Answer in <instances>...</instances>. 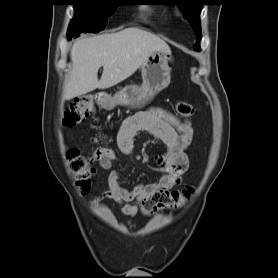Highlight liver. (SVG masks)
<instances>
[{"instance_id":"liver-1","label":"liver","mask_w":278,"mask_h":278,"mask_svg":"<svg viewBox=\"0 0 278 278\" xmlns=\"http://www.w3.org/2000/svg\"><path fill=\"white\" fill-rule=\"evenodd\" d=\"M170 51L158 36L138 28L77 40L71 47V76L64 89L70 100L95 89H107L130 77L153 52ZM103 67L101 79L98 70Z\"/></svg>"}]
</instances>
